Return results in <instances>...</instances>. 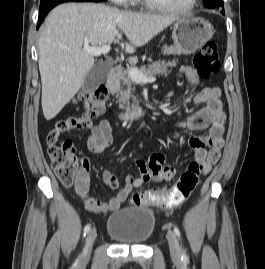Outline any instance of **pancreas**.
Masks as SVG:
<instances>
[{
	"instance_id": "obj_1",
	"label": "pancreas",
	"mask_w": 265,
	"mask_h": 269,
	"mask_svg": "<svg viewBox=\"0 0 265 269\" xmlns=\"http://www.w3.org/2000/svg\"><path fill=\"white\" fill-rule=\"evenodd\" d=\"M176 66V61H157L153 65H149L147 68L142 67L140 72L146 77H155L157 75H167L171 72V69ZM134 80L129 76L126 71L120 70L117 72V76L114 81V90L117 98H119V108L126 111L135 109L139 102L132 95L131 91L134 89ZM130 99L133 100L130 103Z\"/></svg>"
}]
</instances>
